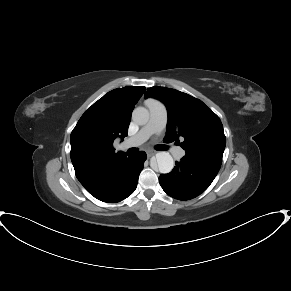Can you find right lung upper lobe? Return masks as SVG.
<instances>
[{
    "label": "right lung upper lobe",
    "mask_w": 291,
    "mask_h": 291,
    "mask_svg": "<svg viewBox=\"0 0 291 291\" xmlns=\"http://www.w3.org/2000/svg\"><path fill=\"white\" fill-rule=\"evenodd\" d=\"M144 91L142 86L118 88L86 110L71 133L70 156L75 171L127 155L116 153L113 142L127 136L132 111Z\"/></svg>",
    "instance_id": "obj_1"
}]
</instances>
